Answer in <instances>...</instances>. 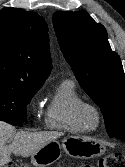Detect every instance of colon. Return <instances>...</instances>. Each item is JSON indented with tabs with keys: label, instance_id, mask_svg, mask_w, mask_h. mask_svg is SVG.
Wrapping results in <instances>:
<instances>
[{
	"label": "colon",
	"instance_id": "colon-1",
	"mask_svg": "<svg viewBox=\"0 0 125 167\" xmlns=\"http://www.w3.org/2000/svg\"><path fill=\"white\" fill-rule=\"evenodd\" d=\"M6 167H28L24 162H12ZM83 167H92L85 165ZM98 167H125V156L120 153H114L103 157L98 164Z\"/></svg>",
	"mask_w": 125,
	"mask_h": 167
}]
</instances>
